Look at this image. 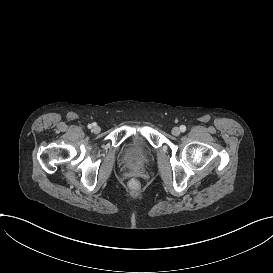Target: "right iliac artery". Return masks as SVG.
Listing matches in <instances>:
<instances>
[{
	"instance_id": "obj_1",
	"label": "right iliac artery",
	"mask_w": 273,
	"mask_h": 273,
	"mask_svg": "<svg viewBox=\"0 0 273 273\" xmlns=\"http://www.w3.org/2000/svg\"><path fill=\"white\" fill-rule=\"evenodd\" d=\"M92 126H96V123H93V124H88V128L91 129Z\"/></svg>"
}]
</instances>
